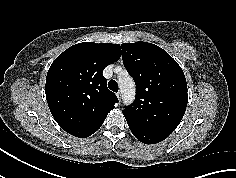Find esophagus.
I'll list each match as a JSON object with an SVG mask.
<instances>
[{"mask_svg": "<svg viewBox=\"0 0 236 178\" xmlns=\"http://www.w3.org/2000/svg\"><path fill=\"white\" fill-rule=\"evenodd\" d=\"M116 96H117L118 100L121 101V93L120 92L116 93Z\"/></svg>", "mask_w": 236, "mask_h": 178, "instance_id": "1", "label": "esophagus"}]
</instances>
